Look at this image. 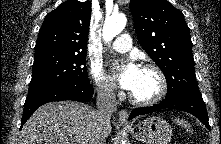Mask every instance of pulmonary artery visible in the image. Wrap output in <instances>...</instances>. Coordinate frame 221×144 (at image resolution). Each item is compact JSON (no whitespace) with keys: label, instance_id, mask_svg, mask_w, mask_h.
<instances>
[{"label":"pulmonary artery","instance_id":"e3ab8cb5","mask_svg":"<svg viewBox=\"0 0 221 144\" xmlns=\"http://www.w3.org/2000/svg\"><path fill=\"white\" fill-rule=\"evenodd\" d=\"M132 46L131 37L129 34L124 33L116 38L111 47L118 52H127Z\"/></svg>","mask_w":221,"mask_h":144}]
</instances>
